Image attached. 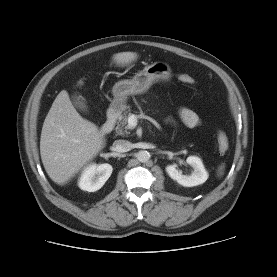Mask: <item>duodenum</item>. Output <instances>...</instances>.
Returning <instances> with one entry per match:
<instances>
[{
  "label": "duodenum",
  "instance_id": "obj_1",
  "mask_svg": "<svg viewBox=\"0 0 277 277\" xmlns=\"http://www.w3.org/2000/svg\"><path fill=\"white\" fill-rule=\"evenodd\" d=\"M120 115V109L117 104H114L108 111L107 119L101 128V133L107 135L112 132L115 127L116 121Z\"/></svg>",
  "mask_w": 277,
  "mask_h": 277
}]
</instances>
